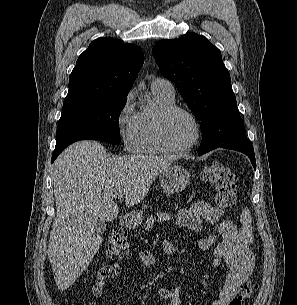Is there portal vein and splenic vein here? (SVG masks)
<instances>
[{"instance_id": "portal-vein-and-splenic-vein-1", "label": "portal vein and splenic vein", "mask_w": 297, "mask_h": 305, "mask_svg": "<svg viewBox=\"0 0 297 305\" xmlns=\"http://www.w3.org/2000/svg\"><path fill=\"white\" fill-rule=\"evenodd\" d=\"M114 198L115 199H121L122 198V194L121 193H116V194H114Z\"/></svg>"}]
</instances>
